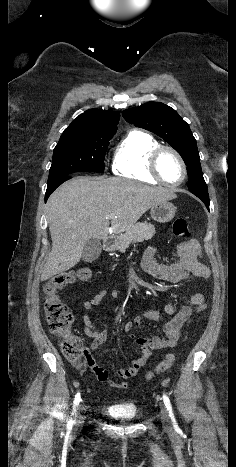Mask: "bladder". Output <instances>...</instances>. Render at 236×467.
Masks as SVG:
<instances>
[{"label":"bladder","mask_w":236,"mask_h":467,"mask_svg":"<svg viewBox=\"0 0 236 467\" xmlns=\"http://www.w3.org/2000/svg\"><path fill=\"white\" fill-rule=\"evenodd\" d=\"M109 412L113 414L115 417L124 420H131L134 419L137 415V410L134 406H126V407H112Z\"/></svg>","instance_id":"bladder-1"}]
</instances>
